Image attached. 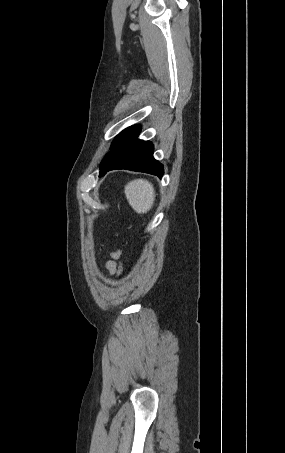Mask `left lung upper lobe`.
<instances>
[{
  "instance_id": "1",
  "label": "left lung upper lobe",
  "mask_w": 285,
  "mask_h": 453,
  "mask_svg": "<svg viewBox=\"0 0 285 453\" xmlns=\"http://www.w3.org/2000/svg\"><path fill=\"white\" fill-rule=\"evenodd\" d=\"M125 131H126V129H125L124 131H122V132L114 139V141H113V143H112V146H111V152H110L108 155H106V157L104 158V160H103V162H102V164H101V169H102V167L105 165V163L108 161V159H109V157H110V155H111V153H112L114 147L116 146V144H117L119 138L122 136V134H123Z\"/></svg>"
}]
</instances>
